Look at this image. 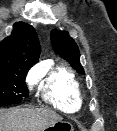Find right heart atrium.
Here are the masks:
<instances>
[{"label":"right heart atrium","instance_id":"right-heart-atrium-1","mask_svg":"<svg viewBox=\"0 0 117 131\" xmlns=\"http://www.w3.org/2000/svg\"><path fill=\"white\" fill-rule=\"evenodd\" d=\"M39 75L36 71L29 72L27 76V83L29 86H33L37 83Z\"/></svg>","mask_w":117,"mask_h":131}]
</instances>
